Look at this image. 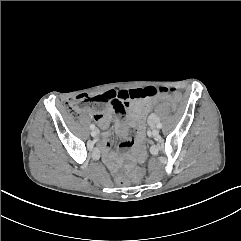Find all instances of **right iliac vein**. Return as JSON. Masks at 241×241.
Returning a JSON list of instances; mask_svg holds the SVG:
<instances>
[{
  "label": "right iliac vein",
  "instance_id": "right-iliac-vein-1",
  "mask_svg": "<svg viewBox=\"0 0 241 241\" xmlns=\"http://www.w3.org/2000/svg\"><path fill=\"white\" fill-rule=\"evenodd\" d=\"M98 135V130L97 129H93L92 131H91V136L92 137H96Z\"/></svg>",
  "mask_w": 241,
  "mask_h": 241
}]
</instances>
